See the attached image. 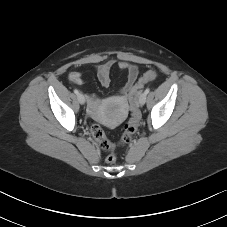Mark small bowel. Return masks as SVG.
I'll use <instances>...</instances> for the list:
<instances>
[{"label": "small bowel", "mask_w": 227, "mask_h": 227, "mask_svg": "<svg viewBox=\"0 0 227 227\" xmlns=\"http://www.w3.org/2000/svg\"><path fill=\"white\" fill-rule=\"evenodd\" d=\"M116 62L114 60H108L96 66L97 79L103 87H109L111 84V70ZM118 68L127 74L126 81L121 87L119 93L124 98L133 88L138 78L139 70L138 67L132 63L126 61H120L117 63ZM70 82L76 85L83 83L82 74L76 71L70 72L68 76ZM89 107L91 110H95L98 107V99L95 95L89 97Z\"/></svg>", "instance_id": "1"}]
</instances>
